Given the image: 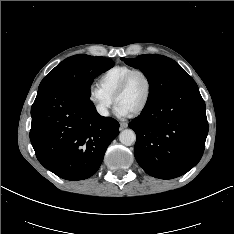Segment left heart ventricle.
I'll use <instances>...</instances> for the list:
<instances>
[{"mask_svg": "<svg viewBox=\"0 0 234 234\" xmlns=\"http://www.w3.org/2000/svg\"><path fill=\"white\" fill-rule=\"evenodd\" d=\"M147 93V81L142 74L131 79L126 91L117 98L116 105L132 113L143 103Z\"/></svg>", "mask_w": 234, "mask_h": 234, "instance_id": "left-heart-ventricle-1", "label": "left heart ventricle"}]
</instances>
